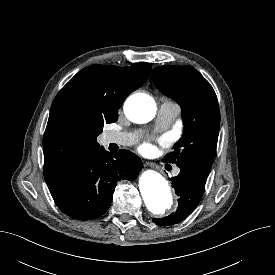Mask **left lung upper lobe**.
Here are the masks:
<instances>
[{
	"instance_id": "left-lung-upper-lobe-1",
	"label": "left lung upper lobe",
	"mask_w": 275,
	"mask_h": 275,
	"mask_svg": "<svg viewBox=\"0 0 275 275\" xmlns=\"http://www.w3.org/2000/svg\"><path fill=\"white\" fill-rule=\"evenodd\" d=\"M152 81L181 107L182 139L163 161L178 167L197 165L210 171L219 134L217 96L210 83L191 66L165 65L153 69Z\"/></svg>"
}]
</instances>
